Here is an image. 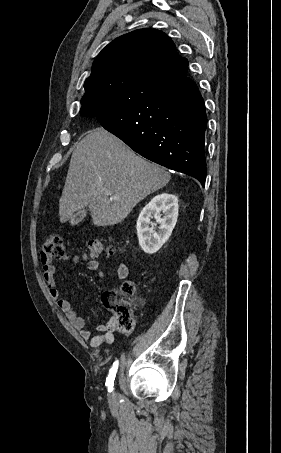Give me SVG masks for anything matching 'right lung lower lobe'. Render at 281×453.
Returning <instances> with one entry per match:
<instances>
[{
	"label": "right lung lower lobe",
	"instance_id": "obj_1",
	"mask_svg": "<svg viewBox=\"0 0 281 453\" xmlns=\"http://www.w3.org/2000/svg\"><path fill=\"white\" fill-rule=\"evenodd\" d=\"M109 132L143 157L198 179H206L207 116L196 84L185 76L161 83L129 101L91 107Z\"/></svg>",
	"mask_w": 281,
	"mask_h": 453
}]
</instances>
